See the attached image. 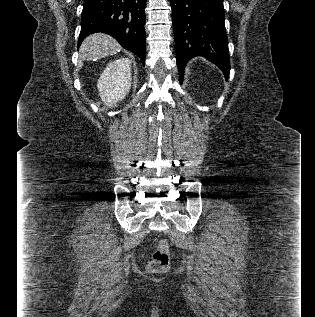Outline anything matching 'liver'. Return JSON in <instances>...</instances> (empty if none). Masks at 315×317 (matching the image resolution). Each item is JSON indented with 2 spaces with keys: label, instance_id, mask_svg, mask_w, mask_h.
Instances as JSON below:
<instances>
[{
  "label": "liver",
  "instance_id": "obj_1",
  "mask_svg": "<svg viewBox=\"0 0 315 317\" xmlns=\"http://www.w3.org/2000/svg\"><path fill=\"white\" fill-rule=\"evenodd\" d=\"M120 45L112 37L97 33L87 37L81 44L79 58L81 61H95L119 51Z\"/></svg>",
  "mask_w": 315,
  "mask_h": 317
}]
</instances>
